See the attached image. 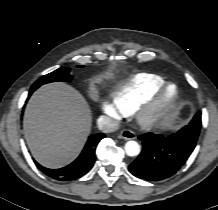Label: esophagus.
Masks as SVG:
<instances>
[{
    "label": "esophagus",
    "instance_id": "1",
    "mask_svg": "<svg viewBox=\"0 0 218 210\" xmlns=\"http://www.w3.org/2000/svg\"><path fill=\"white\" fill-rule=\"evenodd\" d=\"M119 137L125 140L135 139V133L131 130L125 129L120 132Z\"/></svg>",
    "mask_w": 218,
    "mask_h": 210
}]
</instances>
